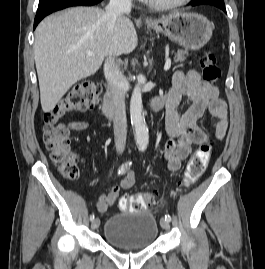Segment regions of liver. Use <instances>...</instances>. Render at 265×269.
Here are the masks:
<instances>
[{"label": "liver", "instance_id": "6515ba94", "mask_svg": "<svg viewBox=\"0 0 265 269\" xmlns=\"http://www.w3.org/2000/svg\"><path fill=\"white\" fill-rule=\"evenodd\" d=\"M137 45L130 19L121 16L109 32L105 12L96 7H73L46 17L36 28L34 43L42 110L52 111L72 85L99 70L106 55L129 54Z\"/></svg>", "mask_w": 265, "mask_h": 269}]
</instances>
